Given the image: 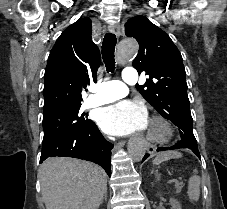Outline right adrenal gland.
Wrapping results in <instances>:
<instances>
[{
  "mask_svg": "<svg viewBox=\"0 0 227 209\" xmlns=\"http://www.w3.org/2000/svg\"><path fill=\"white\" fill-rule=\"evenodd\" d=\"M104 201H107V193L104 195Z\"/></svg>",
  "mask_w": 227,
  "mask_h": 209,
  "instance_id": "obj_1",
  "label": "right adrenal gland"
}]
</instances>
